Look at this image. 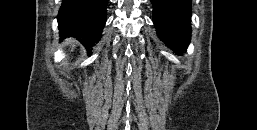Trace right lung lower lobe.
I'll return each mask as SVG.
<instances>
[{"instance_id":"obj_1","label":"right lung lower lobe","mask_w":257,"mask_h":130,"mask_svg":"<svg viewBox=\"0 0 257 130\" xmlns=\"http://www.w3.org/2000/svg\"><path fill=\"white\" fill-rule=\"evenodd\" d=\"M108 0H63L58 13L62 37H75L86 48L101 39Z\"/></svg>"}]
</instances>
